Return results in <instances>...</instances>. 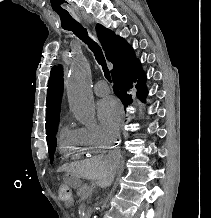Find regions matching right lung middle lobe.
<instances>
[{
    "label": "right lung middle lobe",
    "mask_w": 211,
    "mask_h": 218,
    "mask_svg": "<svg viewBox=\"0 0 211 218\" xmlns=\"http://www.w3.org/2000/svg\"><path fill=\"white\" fill-rule=\"evenodd\" d=\"M120 100H121L122 104L124 105V107H127V105L131 104L133 101L130 97L121 98ZM58 123H59V121L55 124L52 132L47 135V143H48L49 156H50L51 162L53 161V155H54L55 148H56L55 135L57 133Z\"/></svg>",
    "instance_id": "right-lung-middle-lobe-1"
}]
</instances>
